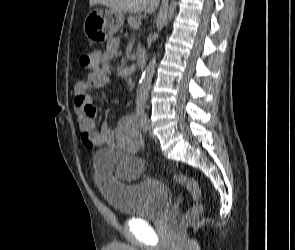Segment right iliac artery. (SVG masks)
Returning a JSON list of instances; mask_svg holds the SVG:
<instances>
[{
    "instance_id": "right-iliac-artery-1",
    "label": "right iliac artery",
    "mask_w": 295,
    "mask_h": 250,
    "mask_svg": "<svg viewBox=\"0 0 295 250\" xmlns=\"http://www.w3.org/2000/svg\"><path fill=\"white\" fill-rule=\"evenodd\" d=\"M137 119L140 124V126L145 129L146 128V119H145V113L144 110L138 109L137 110Z\"/></svg>"
}]
</instances>
